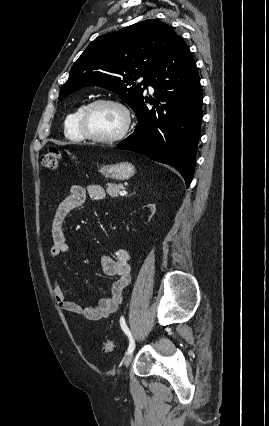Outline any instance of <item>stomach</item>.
<instances>
[{"instance_id":"stomach-1","label":"stomach","mask_w":269,"mask_h":426,"mask_svg":"<svg viewBox=\"0 0 269 426\" xmlns=\"http://www.w3.org/2000/svg\"><path fill=\"white\" fill-rule=\"evenodd\" d=\"M100 173L106 178L115 180H127L135 174V167L129 162H120L111 165H105L100 168Z\"/></svg>"}]
</instances>
